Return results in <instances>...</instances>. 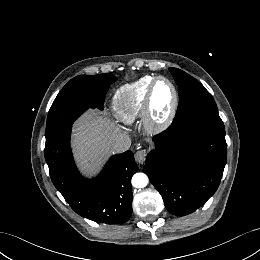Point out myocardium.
<instances>
[{
  "mask_svg": "<svg viewBox=\"0 0 260 260\" xmlns=\"http://www.w3.org/2000/svg\"><path fill=\"white\" fill-rule=\"evenodd\" d=\"M160 81L166 82L173 92L172 108L168 116L163 121H157L153 115V96L155 93L156 86ZM178 108L179 94L174 83L166 77H156L147 91L145 102L143 105L142 121L145 130L151 134H159L167 130L174 122L178 112Z\"/></svg>",
  "mask_w": 260,
  "mask_h": 260,
  "instance_id": "myocardium-1",
  "label": "myocardium"
}]
</instances>
